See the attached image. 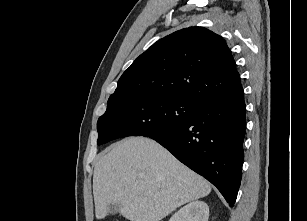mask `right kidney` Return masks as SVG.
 I'll return each mask as SVG.
<instances>
[{"label": "right kidney", "mask_w": 307, "mask_h": 221, "mask_svg": "<svg viewBox=\"0 0 307 221\" xmlns=\"http://www.w3.org/2000/svg\"><path fill=\"white\" fill-rule=\"evenodd\" d=\"M209 207L203 201H193L178 210L169 221H208Z\"/></svg>", "instance_id": "right-kidney-1"}]
</instances>
